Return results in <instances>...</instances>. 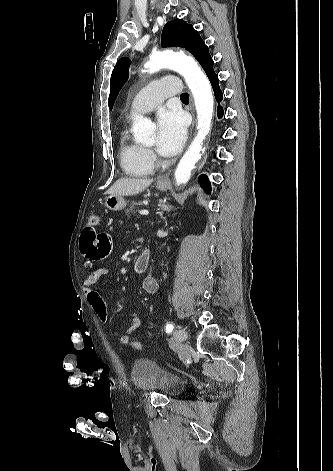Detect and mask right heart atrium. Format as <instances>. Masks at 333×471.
<instances>
[{
    "mask_svg": "<svg viewBox=\"0 0 333 471\" xmlns=\"http://www.w3.org/2000/svg\"><path fill=\"white\" fill-rule=\"evenodd\" d=\"M148 154H149V157L151 158V160L153 161V159H154L153 154L151 152H148Z\"/></svg>",
    "mask_w": 333,
    "mask_h": 471,
    "instance_id": "1",
    "label": "right heart atrium"
}]
</instances>
